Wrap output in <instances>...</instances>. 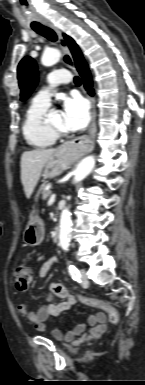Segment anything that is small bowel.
Masks as SVG:
<instances>
[{
	"label": "small bowel",
	"mask_w": 145,
	"mask_h": 385,
	"mask_svg": "<svg viewBox=\"0 0 145 385\" xmlns=\"http://www.w3.org/2000/svg\"><path fill=\"white\" fill-rule=\"evenodd\" d=\"M58 260L56 257H52L44 262L38 270V275L41 278L47 276L49 271L57 265ZM61 285L64 290V294L56 292L55 287ZM81 301V297L72 295L67 286L62 283H53L50 287V294L47 298V302L42 304L37 312H34L26 304L18 305V312L21 316L31 321L40 332L47 330L46 321L49 317H57L61 313L71 309L77 301ZM107 329L106 316L103 313H95L89 315L82 323L77 324L71 330L62 332L61 330L54 328L51 331L52 336L59 341L72 342L74 345H78L81 342L88 341L94 338H99Z\"/></svg>",
	"instance_id": "c3829d8e"
}]
</instances>
